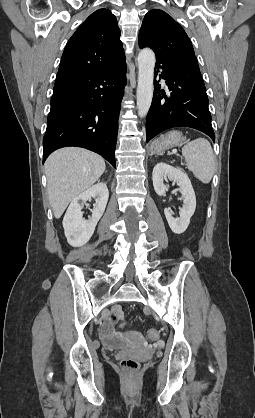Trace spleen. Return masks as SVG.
<instances>
[{"mask_svg":"<svg viewBox=\"0 0 255 418\" xmlns=\"http://www.w3.org/2000/svg\"><path fill=\"white\" fill-rule=\"evenodd\" d=\"M189 171L204 184H208L215 171V157L208 140L197 138L187 143L182 149Z\"/></svg>","mask_w":255,"mask_h":418,"instance_id":"obj_1","label":"spleen"}]
</instances>
